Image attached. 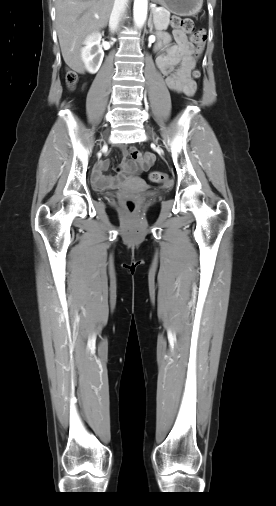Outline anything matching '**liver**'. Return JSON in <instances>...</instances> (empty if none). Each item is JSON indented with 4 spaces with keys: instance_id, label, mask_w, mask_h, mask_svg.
<instances>
[{
    "instance_id": "obj_1",
    "label": "liver",
    "mask_w": 276,
    "mask_h": 506,
    "mask_svg": "<svg viewBox=\"0 0 276 506\" xmlns=\"http://www.w3.org/2000/svg\"><path fill=\"white\" fill-rule=\"evenodd\" d=\"M114 0H56V29L65 63L84 72L81 47L92 32L104 28Z\"/></svg>"
}]
</instances>
